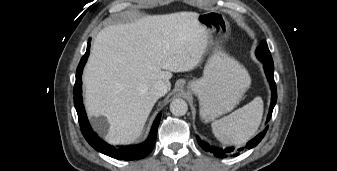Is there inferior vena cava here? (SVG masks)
<instances>
[{"label":"inferior vena cava","mask_w":337,"mask_h":171,"mask_svg":"<svg viewBox=\"0 0 337 171\" xmlns=\"http://www.w3.org/2000/svg\"><path fill=\"white\" fill-rule=\"evenodd\" d=\"M168 91V85L164 81H157L153 84L151 88V92L156 97H162L164 96Z\"/></svg>","instance_id":"inferior-vena-cava-1"}]
</instances>
